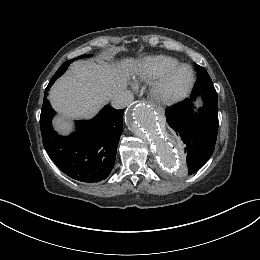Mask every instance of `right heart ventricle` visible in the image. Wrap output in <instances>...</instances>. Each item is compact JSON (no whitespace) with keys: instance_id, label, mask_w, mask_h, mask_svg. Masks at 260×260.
Listing matches in <instances>:
<instances>
[{"instance_id":"obj_1","label":"right heart ventricle","mask_w":260,"mask_h":260,"mask_svg":"<svg viewBox=\"0 0 260 260\" xmlns=\"http://www.w3.org/2000/svg\"><path fill=\"white\" fill-rule=\"evenodd\" d=\"M178 62L176 58L167 55L146 57L137 65L135 75L141 80H153Z\"/></svg>"}]
</instances>
